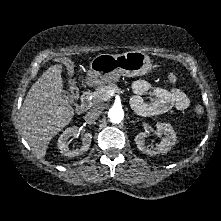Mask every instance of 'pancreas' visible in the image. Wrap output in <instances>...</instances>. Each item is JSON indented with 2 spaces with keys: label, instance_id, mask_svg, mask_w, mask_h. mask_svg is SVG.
Masks as SVG:
<instances>
[{
  "label": "pancreas",
  "instance_id": "cf45deb5",
  "mask_svg": "<svg viewBox=\"0 0 221 221\" xmlns=\"http://www.w3.org/2000/svg\"><path fill=\"white\" fill-rule=\"evenodd\" d=\"M113 90L115 93L122 92V90L114 83L99 86L92 93V102L94 105L107 101L110 97L108 96V91Z\"/></svg>",
  "mask_w": 221,
  "mask_h": 221
}]
</instances>
